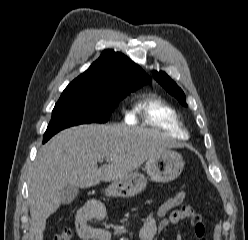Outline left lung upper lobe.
Here are the masks:
<instances>
[{
    "mask_svg": "<svg viewBox=\"0 0 248 240\" xmlns=\"http://www.w3.org/2000/svg\"><path fill=\"white\" fill-rule=\"evenodd\" d=\"M153 75L161 86H163L171 95L175 96L182 105L187 106L184 92L165 72L154 71Z\"/></svg>",
    "mask_w": 248,
    "mask_h": 240,
    "instance_id": "left-lung-upper-lobe-1",
    "label": "left lung upper lobe"
}]
</instances>
